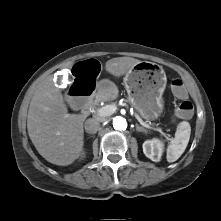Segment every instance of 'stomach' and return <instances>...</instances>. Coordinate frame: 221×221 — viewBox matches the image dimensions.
<instances>
[{"label": "stomach", "mask_w": 221, "mask_h": 221, "mask_svg": "<svg viewBox=\"0 0 221 221\" xmlns=\"http://www.w3.org/2000/svg\"><path fill=\"white\" fill-rule=\"evenodd\" d=\"M166 82L163 68L149 61L137 63L126 73L124 83L128 100L144 119L151 121L161 116ZM103 90L111 91L108 87Z\"/></svg>", "instance_id": "obj_1"}]
</instances>
